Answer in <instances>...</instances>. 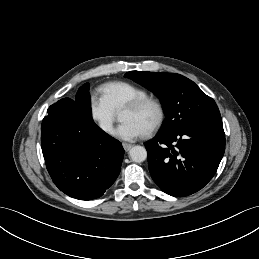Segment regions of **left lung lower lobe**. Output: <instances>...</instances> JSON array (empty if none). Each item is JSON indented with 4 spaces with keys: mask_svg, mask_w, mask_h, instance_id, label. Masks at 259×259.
I'll list each match as a JSON object with an SVG mask.
<instances>
[{
    "mask_svg": "<svg viewBox=\"0 0 259 259\" xmlns=\"http://www.w3.org/2000/svg\"><path fill=\"white\" fill-rule=\"evenodd\" d=\"M149 171L165 193L183 197L202 189L214 176L225 151L222 120L160 134L144 143Z\"/></svg>",
    "mask_w": 259,
    "mask_h": 259,
    "instance_id": "obj_1",
    "label": "left lung lower lobe"
}]
</instances>
